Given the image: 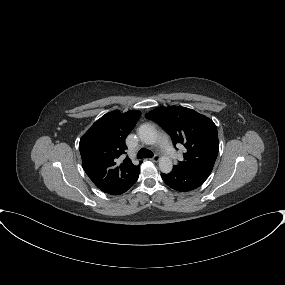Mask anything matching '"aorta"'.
Segmentation results:
<instances>
[{
    "label": "aorta",
    "mask_w": 285,
    "mask_h": 285,
    "mask_svg": "<svg viewBox=\"0 0 285 285\" xmlns=\"http://www.w3.org/2000/svg\"><path fill=\"white\" fill-rule=\"evenodd\" d=\"M138 136L146 145H154L158 142L157 131L149 124H143L138 128ZM172 168V160L168 156L159 158V169L162 173H170Z\"/></svg>",
    "instance_id": "obj_1"
}]
</instances>
